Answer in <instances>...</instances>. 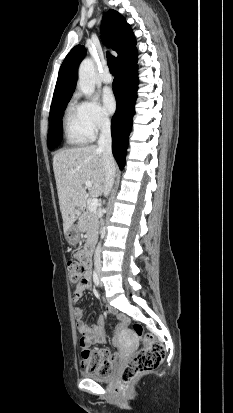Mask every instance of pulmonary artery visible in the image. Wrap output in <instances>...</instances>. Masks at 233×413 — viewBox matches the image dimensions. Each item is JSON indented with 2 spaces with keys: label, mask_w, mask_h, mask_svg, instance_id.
I'll return each instance as SVG.
<instances>
[{
  "label": "pulmonary artery",
  "mask_w": 233,
  "mask_h": 413,
  "mask_svg": "<svg viewBox=\"0 0 233 413\" xmlns=\"http://www.w3.org/2000/svg\"><path fill=\"white\" fill-rule=\"evenodd\" d=\"M101 79H102V82L105 83V84H110L112 82L113 78H112V75L110 74L108 68H106L103 71Z\"/></svg>",
  "instance_id": "obj_1"
}]
</instances>
